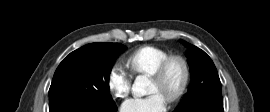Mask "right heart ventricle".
Returning <instances> with one entry per match:
<instances>
[{
  "label": "right heart ventricle",
  "mask_w": 270,
  "mask_h": 112,
  "mask_svg": "<svg viewBox=\"0 0 270 112\" xmlns=\"http://www.w3.org/2000/svg\"><path fill=\"white\" fill-rule=\"evenodd\" d=\"M170 53L156 46H143L128 55L126 62L134 74L151 75Z\"/></svg>",
  "instance_id": "1"
}]
</instances>
